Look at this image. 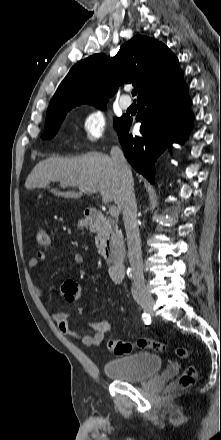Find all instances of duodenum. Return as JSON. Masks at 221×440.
Here are the masks:
<instances>
[{"label": "duodenum", "mask_w": 221, "mask_h": 440, "mask_svg": "<svg viewBox=\"0 0 221 440\" xmlns=\"http://www.w3.org/2000/svg\"><path fill=\"white\" fill-rule=\"evenodd\" d=\"M89 227L91 229H104L107 227V219L100 212L92 210L87 215ZM112 261V265L109 268V274L114 282H121L125 277V266L121 262L108 258Z\"/></svg>", "instance_id": "obj_1"}]
</instances>
